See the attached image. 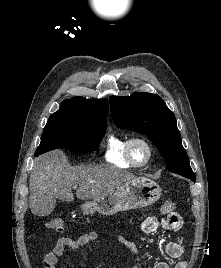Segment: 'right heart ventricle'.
<instances>
[{"label":"right heart ventricle","mask_w":221,"mask_h":268,"mask_svg":"<svg viewBox=\"0 0 221 268\" xmlns=\"http://www.w3.org/2000/svg\"><path fill=\"white\" fill-rule=\"evenodd\" d=\"M129 140L126 136L110 134L106 140L104 158L107 162L122 168H131L133 165L126 157L125 147Z\"/></svg>","instance_id":"right-heart-ventricle-1"}]
</instances>
